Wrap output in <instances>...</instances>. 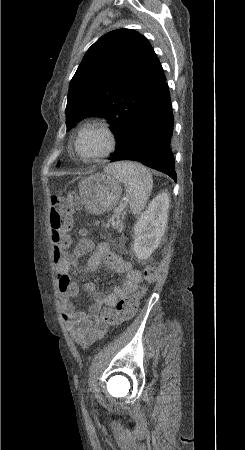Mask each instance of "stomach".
Masks as SVG:
<instances>
[{"label":"stomach","instance_id":"1","mask_svg":"<svg viewBox=\"0 0 245 450\" xmlns=\"http://www.w3.org/2000/svg\"><path fill=\"white\" fill-rule=\"evenodd\" d=\"M81 200L88 213L101 215L112 210L122 195V185L111 172L96 173L80 180Z\"/></svg>","mask_w":245,"mask_h":450}]
</instances>
